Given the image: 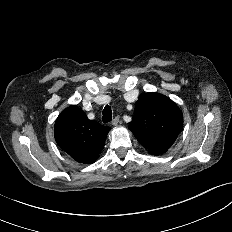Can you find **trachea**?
<instances>
[{"label": "trachea", "mask_w": 232, "mask_h": 232, "mask_svg": "<svg viewBox=\"0 0 232 232\" xmlns=\"http://www.w3.org/2000/svg\"><path fill=\"white\" fill-rule=\"evenodd\" d=\"M102 120L104 123H108L112 120V110L109 105H106L103 110Z\"/></svg>", "instance_id": "trachea-1"}]
</instances>
